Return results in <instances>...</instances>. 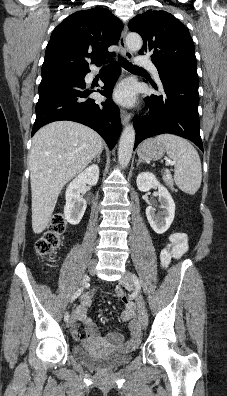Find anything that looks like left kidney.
Returning a JSON list of instances; mask_svg holds the SVG:
<instances>
[{
  "label": "left kidney",
  "instance_id": "5707ae66",
  "mask_svg": "<svg viewBox=\"0 0 227 396\" xmlns=\"http://www.w3.org/2000/svg\"><path fill=\"white\" fill-rule=\"evenodd\" d=\"M137 187L142 192H147L153 187H158L159 202L163 212L161 215L155 213V208L148 206L146 216L152 229L157 234H163L171 226L175 215V203L169 191L160 184L154 174L142 172L137 176Z\"/></svg>",
  "mask_w": 227,
  "mask_h": 396
}]
</instances>
